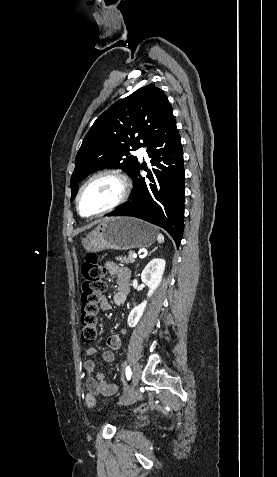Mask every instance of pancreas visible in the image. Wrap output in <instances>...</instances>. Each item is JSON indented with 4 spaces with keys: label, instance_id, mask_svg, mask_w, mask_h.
<instances>
[{
    "label": "pancreas",
    "instance_id": "obj_1",
    "mask_svg": "<svg viewBox=\"0 0 277 477\" xmlns=\"http://www.w3.org/2000/svg\"><path fill=\"white\" fill-rule=\"evenodd\" d=\"M117 261H120V263H133L135 261V258L132 256V253L130 252L127 256H118L116 258Z\"/></svg>",
    "mask_w": 277,
    "mask_h": 477
}]
</instances>
